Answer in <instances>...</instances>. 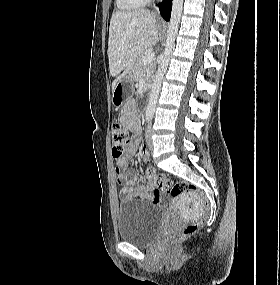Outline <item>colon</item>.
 <instances>
[{"label":"colon","mask_w":280,"mask_h":285,"mask_svg":"<svg viewBox=\"0 0 280 285\" xmlns=\"http://www.w3.org/2000/svg\"><path fill=\"white\" fill-rule=\"evenodd\" d=\"M111 137L113 142V155L118 158L122 155L125 146L129 143V133L119 123H114L111 127ZM146 174L157 189L165 191L167 194L173 197L185 192H191L199 199L204 211H207L209 206L208 198L196 185L186 182L172 183L163 175L156 174V172L151 168L146 170ZM199 225V222L188 223L174 237L173 241L179 242L188 238L197 231Z\"/></svg>","instance_id":"colon-1"}]
</instances>
